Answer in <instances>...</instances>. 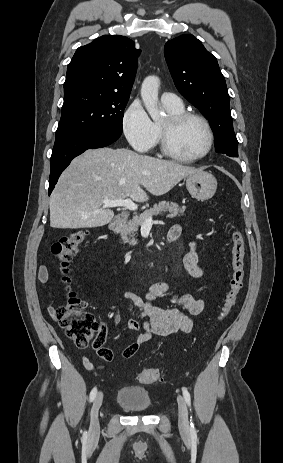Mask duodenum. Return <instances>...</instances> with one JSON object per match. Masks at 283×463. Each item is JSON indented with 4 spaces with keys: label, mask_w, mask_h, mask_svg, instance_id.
<instances>
[{
    "label": "duodenum",
    "mask_w": 283,
    "mask_h": 463,
    "mask_svg": "<svg viewBox=\"0 0 283 463\" xmlns=\"http://www.w3.org/2000/svg\"><path fill=\"white\" fill-rule=\"evenodd\" d=\"M129 214L126 212H122L118 214L109 224V230L112 232H117L118 229L127 221ZM170 241L174 240L173 236H168Z\"/></svg>",
    "instance_id": "obj_1"
}]
</instances>
